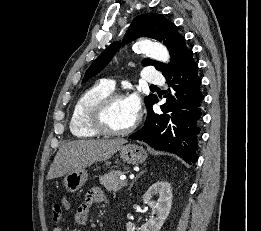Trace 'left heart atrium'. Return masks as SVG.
<instances>
[{"label": "left heart atrium", "instance_id": "obj_1", "mask_svg": "<svg viewBox=\"0 0 261 231\" xmlns=\"http://www.w3.org/2000/svg\"><path fill=\"white\" fill-rule=\"evenodd\" d=\"M128 105L135 116H137L141 109L140 97L138 94L133 93L127 98Z\"/></svg>", "mask_w": 261, "mask_h": 231}]
</instances>
